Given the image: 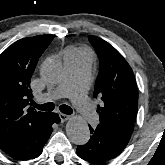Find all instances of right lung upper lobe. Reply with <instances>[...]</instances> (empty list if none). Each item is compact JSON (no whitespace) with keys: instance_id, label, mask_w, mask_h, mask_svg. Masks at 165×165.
<instances>
[{"instance_id":"cb5924a9","label":"right lung upper lobe","mask_w":165,"mask_h":165,"mask_svg":"<svg viewBox=\"0 0 165 165\" xmlns=\"http://www.w3.org/2000/svg\"><path fill=\"white\" fill-rule=\"evenodd\" d=\"M53 38L49 34L24 38L0 55V145L48 114L27 106L32 100L30 79Z\"/></svg>"}]
</instances>
